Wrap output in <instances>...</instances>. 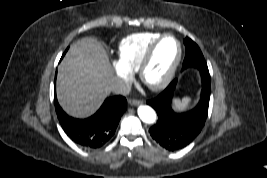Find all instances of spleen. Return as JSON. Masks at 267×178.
Here are the masks:
<instances>
[{"instance_id": "obj_1", "label": "spleen", "mask_w": 267, "mask_h": 178, "mask_svg": "<svg viewBox=\"0 0 267 178\" xmlns=\"http://www.w3.org/2000/svg\"><path fill=\"white\" fill-rule=\"evenodd\" d=\"M173 103H174L175 109L182 111V110H185L189 106V104L191 103V98L184 97L182 100L174 99Z\"/></svg>"}]
</instances>
